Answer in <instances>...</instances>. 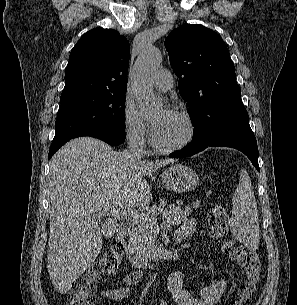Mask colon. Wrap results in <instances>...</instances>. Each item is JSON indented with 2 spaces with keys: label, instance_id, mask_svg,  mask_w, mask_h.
Listing matches in <instances>:
<instances>
[{
  "label": "colon",
  "instance_id": "5ec220e1",
  "mask_svg": "<svg viewBox=\"0 0 297 305\" xmlns=\"http://www.w3.org/2000/svg\"><path fill=\"white\" fill-rule=\"evenodd\" d=\"M207 227L211 237L222 247L225 254L240 268L244 283L236 299L230 305H245L253 295L261 277L258 256L236 244L228 237V212L220 204L214 205L207 215ZM122 246L115 240L81 277L75 280L69 293V305H97L95 283L113 275L120 267Z\"/></svg>",
  "mask_w": 297,
  "mask_h": 305
}]
</instances>
